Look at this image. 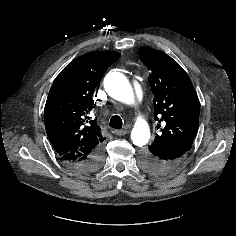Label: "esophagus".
<instances>
[{
  "label": "esophagus",
  "instance_id": "34e87169",
  "mask_svg": "<svg viewBox=\"0 0 236 236\" xmlns=\"http://www.w3.org/2000/svg\"><path fill=\"white\" fill-rule=\"evenodd\" d=\"M127 133H128L127 130H114V134L118 136H123V135H126Z\"/></svg>",
  "mask_w": 236,
  "mask_h": 236
}]
</instances>
